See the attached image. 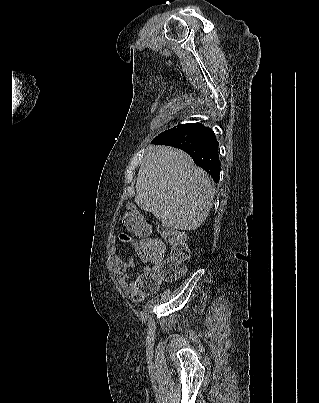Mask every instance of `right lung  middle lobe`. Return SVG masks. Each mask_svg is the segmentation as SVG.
Returning <instances> with one entry per match:
<instances>
[{
	"label": "right lung middle lobe",
	"instance_id": "1",
	"mask_svg": "<svg viewBox=\"0 0 319 403\" xmlns=\"http://www.w3.org/2000/svg\"><path fill=\"white\" fill-rule=\"evenodd\" d=\"M190 123H188V124H182V125H178L177 127H184V126H187V125H189Z\"/></svg>",
	"mask_w": 319,
	"mask_h": 403
}]
</instances>
